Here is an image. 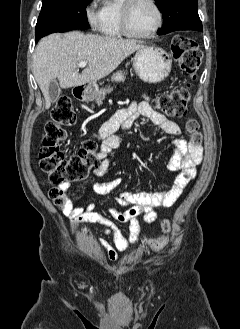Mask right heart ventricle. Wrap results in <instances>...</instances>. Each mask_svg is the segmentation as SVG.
<instances>
[{"label": "right heart ventricle", "instance_id": "right-heart-ventricle-1", "mask_svg": "<svg viewBox=\"0 0 240 329\" xmlns=\"http://www.w3.org/2000/svg\"><path fill=\"white\" fill-rule=\"evenodd\" d=\"M123 0H104L98 23L99 32L107 38L126 36L121 28V8Z\"/></svg>", "mask_w": 240, "mask_h": 329}]
</instances>
